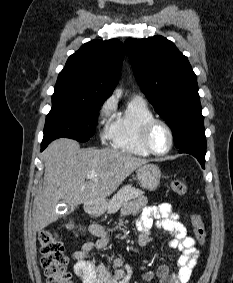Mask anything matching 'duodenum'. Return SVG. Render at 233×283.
I'll use <instances>...</instances> for the list:
<instances>
[{"label": "duodenum", "instance_id": "obj_1", "mask_svg": "<svg viewBox=\"0 0 233 283\" xmlns=\"http://www.w3.org/2000/svg\"><path fill=\"white\" fill-rule=\"evenodd\" d=\"M105 209V203L103 201H94L87 205V211L90 214L101 213Z\"/></svg>", "mask_w": 233, "mask_h": 283}]
</instances>
